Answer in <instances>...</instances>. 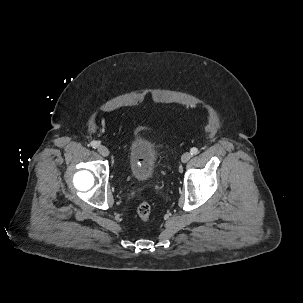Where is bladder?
Segmentation results:
<instances>
[{
	"label": "bladder",
	"instance_id": "1",
	"mask_svg": "<svg viewBox=\"0 0 303 303\" xmlns=\"http://www.w3.org/2000/svg\"><path fill=\"white\" fill-rule=\"evenodd\" d=\"M163 153L162 143L136 130L128 145V169L130 176L137 181L150 179L157 168Z\"/></svg>",
	"mask_w": 303,
	"mask_h": 303
}]
</instances>
